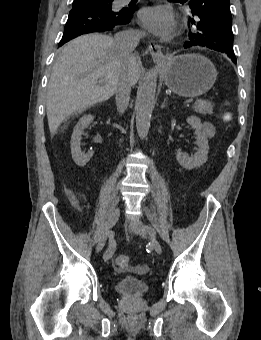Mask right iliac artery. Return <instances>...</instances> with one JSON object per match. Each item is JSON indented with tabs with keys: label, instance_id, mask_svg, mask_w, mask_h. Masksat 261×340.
<instances>
[{
	"label": "right iliac artery",
	"instance_id": "obj_1",
	"mask_svg": "<svg viewBox=\"0 0 261 340\" xmlns=\"http://www.w3.org/2000/svg\"><path fill=\"white\" fill-rule=\"evenodd\" d=\"M108 237H109L108 248L103 254V259L105 261H108L111 259L116 249V241L114 239L113 233L109 232Z\"/></svg>",
	"mask_w": 261,
	"mask_h": 340
}]
</instances>
